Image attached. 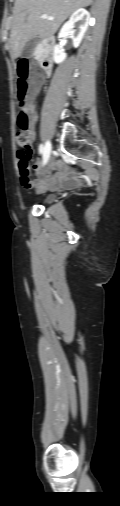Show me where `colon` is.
Listing matches in <instances>:
<instances>
[{"instance_id":"5ec220e1","label":"colon","mask_w":120,"mask_h":506,"mask_svg":"<svg viewBox=\"0 0 120 506\" xmlns=\"http://www.w3.org/2000/svg\"><path fill=\"white\" fill-rule=\"evenodd\" d=\"M18 62V81H17V95H18V126L20 130L15 136V141L19 146L18 150V167L22 175H28L29 162L31 159V144L33 140L32 130V117L29 111L28 103L25 96L28 92L27 79L32 76L38 79L39 74L31 70L29 67L30 57L28 54H19L17 57Z\"/></svg>"}]
</instances>
